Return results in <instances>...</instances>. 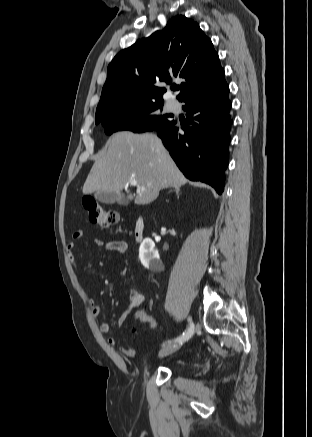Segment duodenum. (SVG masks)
Here are the masks:
<instances>
[{
	"label": "duodenum",
	"instance_id": "duodenum-1",
	"mask_svg": "<svg viewBox=\"0 0 312 437\" xmlns=\"http://www.w3.org/2000/svg\"><path fill=\"white\" fill-rule=\"evenodd\" d=\"M146 222L145 219L140 217L135 224V238L138 242H141L145 236Z\"/></svg>",
	"mask_w": 312,
	"mask_h": 437
}]
</instances>
